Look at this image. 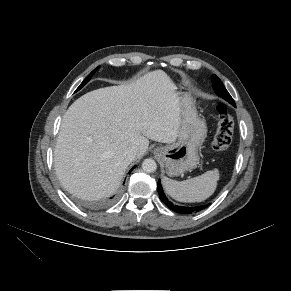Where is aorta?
Wrapping results in <instances>:
<instances>
[{
	"instance_id": "aorta-1",
	"label": "aorta",
	"mask_w": 291,
	"mask_h": 291,
	"mask_svg": "<svg viewBox=\"0 0 291 291\" xmlns=\"http://www.w3.org/2000/svg\"><path fill=\"white\" fill-rule=\"evenodd\" d=\"M142 169L147 173H153L157 169V164L155 160L148 158L143 161Z\"/></svg>"
}]
</instances>
